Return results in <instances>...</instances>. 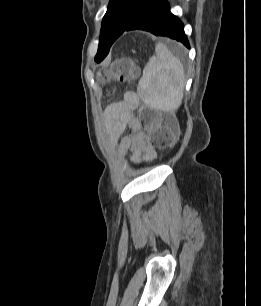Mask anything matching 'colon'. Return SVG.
<instances>
[{
	"mask_svg": "<svg viewBox=\"0 0 261 306\" xmlns=\"http://www.w3.org/2000/svg\"><path fill=\"white\" fill-rule=\"evenodd\" d=\"M136 76L134 63L126 58L113 62L108 72H101V78H114L121 82H130ZM143 124L150 130L151 143L160 149L169 147L173 142V131L169 124H162L158 117L152 113H145Z\"/></svg>",
	"mask_w": 261,
	"mask_h": 306,
	"instance_id": "5ec220e1",
	"label": "colon"
}]
</instances>
